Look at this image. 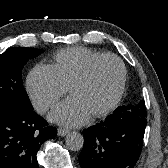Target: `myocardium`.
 <instances>
[{"mask_svg":"<svg viewBox=\"0 0 168 168\" xmlns=\"http://www.w3.org/2000/svg\"><path fill=\"white\" fill-rule=\"evenodd\" d=\"M106 59H113L118 63V65L120 67V81H119L117 92H116L114 98L112 99V101L102 110L97 111L92 114V116L95 118H100V117H104V116L109 115L117 108V106L119 105V103L122 100V97H123V94L125 91L126 80H127V69H126V66H125L123 60L119 56H117L113 53H104V54L92 59L86 65L84 70L76 77V79L70 85V92H72V90L75 87L83 84L84 82H86L90 78V76H91V74L97 64H99L101 61L106 60Z\"/></svg>","mask_w":168,"mask_h":168,"instance_id":"1","label":"myocardium"}]
</instances>
